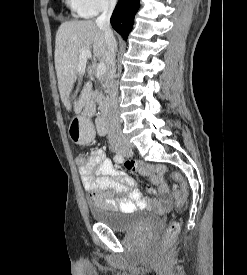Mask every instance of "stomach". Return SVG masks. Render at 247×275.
I'll return each instance as SVG.
<instances>
[{
    "label": "stomach",
    "instance_id": "stomach-1",
    "mask_svg": "<svg viewBox=\"0 0 247 275\" xmlns=\"http://www.w3.org/2000/svg\"><path fill=\"white\" fill-rule=\"evenodd\" d=\"M69 136L77 144H86L93 139L94 133L88 122H84L78 118L72 120L69 127Z\"/></svg>",
    "mask_w": 247,
    "mask_h": 275
}]
</instances>
